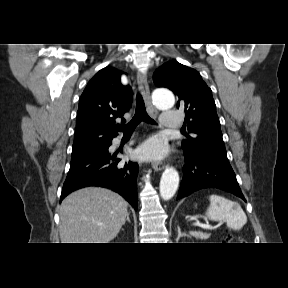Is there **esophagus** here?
Listing matches in <instances>:
<instances>
[{
	"mask_svg": "<svg viewBox=\"0 0 288 288\" xmlns=\"http://www.w3.org/2000/svg\"><path fill=\"white\" fill-rule=\"evenodd\" d=\"M137 83H138L139 90L143 96L148 113L151 116H157V110L155 109V107L153 106L151 102V96H150V90H149L147 78L145 74L140 71L137 73ZM165 166L166 165L163 162H155L152 164V167L155 171H162L165 168Z\"/></svg>",
	"mask_w": 288,
	"mask_h": 288,
	"instance_id": "esophagus-1",
	"label": "esophagus"
}]
</instances>
